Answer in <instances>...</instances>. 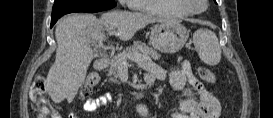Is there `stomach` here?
Segmentation results:
<instances>
[{
  "instance_id": "obj_1",
  "label": "stomach",
  "mask_w": 273,
  "mask_h": 118,
  "mask_svg": "<svg viewBox=\"0 0 273 118\" xmlns=\"http://www.w3.org/2000/svg\"><path fill=\"white\" fill-rule=\"evenodd\" d=\"M187 29L176 21H166L155 25L150 34V44L163 53H175L186 43Z\"/></svg>"
}]
</instances>
